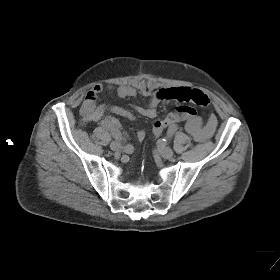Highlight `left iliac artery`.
<instances>
[{"label": "left iliac artery", "mask_w": 280, "mask_h": 280, "mask_svg": "<svg viewBox=\"0 0 280 280\" xmlns=\"http://www.w3.org/2000/svg\"><path fill=\"white\" fill-rule=\"evenodd\" d=\"M178 130V124H172L167 131L168 138H171L175 132Z\"/></svg>", "instance_id": "obj_1"}]
</instances>
